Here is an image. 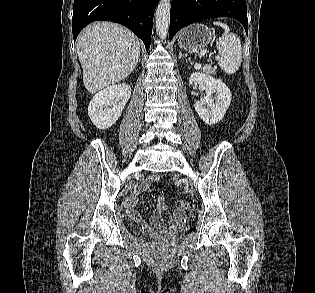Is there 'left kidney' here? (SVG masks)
Wrapping results in <instances>:
<instances>
[{
  "instance_id": "obj_1",
  "label": "left kidney",
  "mask_w": 315,
  "mask_h": 293,
  "mask_svg": "<svg viewBox=\"0 0 315 293\" xmlns=\"http://www.w3.org/2000/svg\"><path fill=\"white\" fill-rule=\"evenodd\" d=\"M202 85L206 91V97L194 104V108L203 122L214 125L220 122L230 106L232 94L230 89L219 79H215L203 73H192L189 85ZM215 94V99L210 97Z\"/></svg>"
}]
</instances>
